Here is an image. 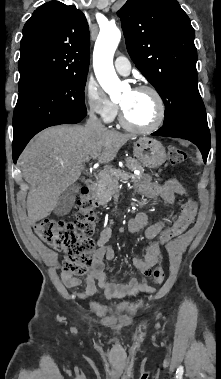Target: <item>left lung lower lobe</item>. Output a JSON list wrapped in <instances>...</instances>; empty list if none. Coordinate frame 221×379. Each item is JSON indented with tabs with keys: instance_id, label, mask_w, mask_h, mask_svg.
I'll list each match as a JSON object with an SVG mask.
<instances>
[{
	"instance_id": "left-lung-lower-lobe-1",
	"label": "left lung lower lobe",
	"mask_w": 221,
	"mask_h": 379,
	"mask_svg": "<svg viewBox=\"0 0 221 379\" xmlns=\"http://www.w3.org/2000/svg\"><path fill=\"white\" fill-rule=\"evenodd\" d=\"M154 136L176 137L190 140L200 149L204 162L210 150V132L207 123L178 118L164 125L152 133Z\"/></svg>"
}]
</instances>
